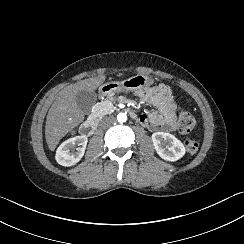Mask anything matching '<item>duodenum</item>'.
<instances>
[{"label":"duodenum","instance_id":"1","mask_svg":"<svg viewBox=\"0 0 244 244\" xmlns=\"http://www.w3.org/2000/svg\"><path fill=\"white\" fill-rule=\"evenodd\" d=\"M96 96L98 98H101L103 96V93L101 91H98L96 93ZM126 111L129 113L131 118H135V112L131 111L129 109H126ZM99 121V115L97 113H93L80 127V133L83 136H90L94 133V131L97 128Z\"/></svg>","mask_w":244,"mask_h":244}]
</instances>
